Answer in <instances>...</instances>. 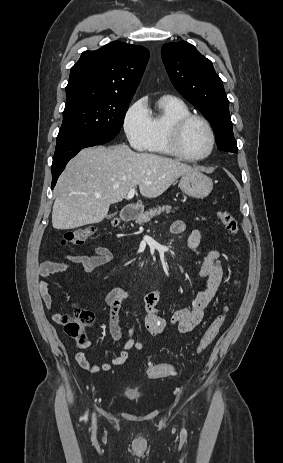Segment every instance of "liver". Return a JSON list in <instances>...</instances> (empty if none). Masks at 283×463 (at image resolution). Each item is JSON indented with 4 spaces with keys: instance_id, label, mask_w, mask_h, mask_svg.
Returning <instances> with one entry per match:
<instances>
[{
    "instance_id": "liver-1",
    "label": "liver",
    "mask_w": 283,
    "mask_h": 463,
    "mask_svg": "<svg viewBox=\"0 0 283 463\" xmlns=\"http://www.w3.org/2000/svg\"><path fill=\"white\" fill-rule=\"evenodd\" d=\"M197 171L177 160L134 152L125 144L85 148L57 181L52 225L68 230L99 223L110 205L137 185L142 196L156 198L179 177Z\"/></svg>"
}]
</instances>
